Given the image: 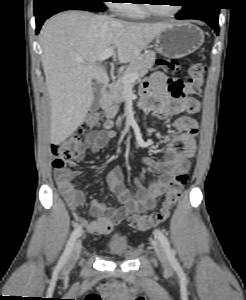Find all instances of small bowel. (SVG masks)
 <instances>
[{"mask_svg": "<svg viewBox=\"0 0 246 300\" xmlns=\"http://www.w3.org/2000/svg\"><path fill=\"white\" fill-rule=\"evenodd\" d=\"M183 88L181 80L169 79L163 73L155 72L143 81L137 106L143 110H154L165 115L193 113L192 108L198 106V102L185 94ZM173 127L176 132L171 135L163 150V159L160 161L149 158L144 160L145 165L157 172V175L152 177L147 184L136 180L135 195H132L122 182L121 167L117 166L106 174L105 179L109 188L122 204V208L93 200L89 207L90 212L95 216L92 222L84 221L79 216V209L85 204L86 197L73 184V178L78 172L69 168L54 171L56 183L74 217L85 225L89 233L107 234L129 212L152 210L157 199L165 193L171 179L177 173L188 170L189 160L194 156L197 147L198 123L193 117L182 115L174 121ZM115 137L116 133L112 130L91 133L84 148L94 154Z\"/></svg>", "mask_w": 246, "mask_h": 300, "instance_id": "c3829d8e", "label": "small bowel"}]
</instances>
